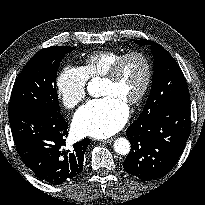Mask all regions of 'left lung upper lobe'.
Returning a JSON list of instances; mask_svg holds the SVG:
<instances>
[{"mask_svg": "<svg viewBox=\"0 0 205 205\" xmlns=\"http://www.w3.org/2000/svg\"><path fill=\"white\" fill-rule=\"evenodd\" d=\"M139 45L151 44L154 72L151 92L137 120L159 112L161 108L179 98L190 97L183 72L174 58L159 44L148 40H135Z\"/></svg>", "mask_w": 205, "mask_h": 205, "instance_id": "5c2ea615", "label": "left lung upper lobe"}]
</instances>
